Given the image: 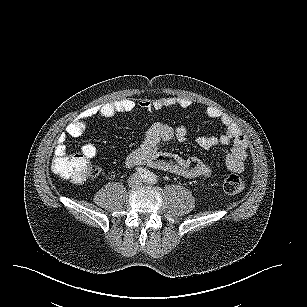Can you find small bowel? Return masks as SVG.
Wrapping results in <instances>:
<instances>
[{"instance_id":"c3829d8e","label":"small bowel","mask_w":307,"mask_h":307,"mask_svg":"<svg viewBox=\"0 0 307 307\" xmlns=\"http://www.w3.org/2000/svg\"><path fill=\"white\" fill-rule=\"evenodd\" d=\"M191 104L192 102L187 98L167 96L151 101H141L138 106L146 111H159L170 107L188 108ZM136 106L132 99H123L84 110L66 126L65 131L59 136L54 152L55 158L67 155L68 139L81 136L87 130L92 118L99 117L107 120L117 114L130 112ZM206 114L211 119L219 120L225 131L218 137L200 136L196 139L197 145L205 150L218 145L230 146L225 157L226 166L231 171L241 172L248 149V142L242 130L228 114L215 107H207ZM187 138L188 131L185 126L171 128L164 124H156L150 128L141 144L128 155L126 164L128 167L149 165L188 178L211 176L214 172L212 164L198 158L184 159L159 151V146L163 142L173 139L184 142ZM82 152L86 158L92 159L96 156L97 149L94 144L88 143L82 147Z\"/></svg>"}]
</instances>
